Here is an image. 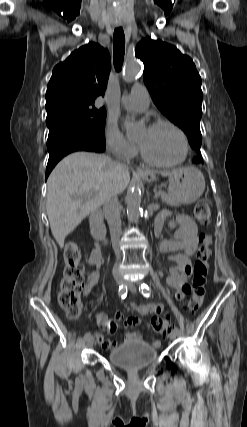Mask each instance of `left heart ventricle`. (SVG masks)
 <instances>
[{
    "label": "left heart ventricle",
    "mask_w": 247,
    "mask_h": 427,
    "mask_svg": "<svg viewBox=\"0 0 247 427\" xmlns=\"http://www.w3.org/2000/svg\"><path fill=\"white\" fill-rule=\"evenodd\" d=\"M137 142L152 159L171 162L181 156L182 144L178 134L171 128H144L140 131Z\"/></svg>",
    "instance_id": "1"
}]
</instances>
